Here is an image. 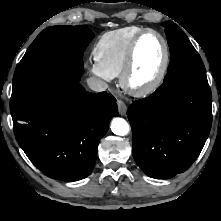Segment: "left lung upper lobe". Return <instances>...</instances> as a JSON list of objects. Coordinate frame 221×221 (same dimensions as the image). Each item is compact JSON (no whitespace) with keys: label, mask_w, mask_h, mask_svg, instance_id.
<instances>
[{"label":"left lung upper lobe","mask_w":221,"mask_h":221,"mask_svg":"<svg viewBox=\"0 0 221 221\" xmlns=\"http://www.w3.org/2000/svg\"><path fill=\"white\" fill-rule=\"evenodd\" d=\"M162 26L166 28L171 53V62L164 81L177 77L207 80L203 62L187 35L171 21L162 23Z\"/></svg>","instance_id":"left-lung-upper-lobe-1"}]
</instances>
